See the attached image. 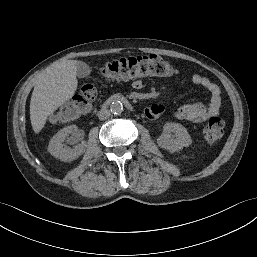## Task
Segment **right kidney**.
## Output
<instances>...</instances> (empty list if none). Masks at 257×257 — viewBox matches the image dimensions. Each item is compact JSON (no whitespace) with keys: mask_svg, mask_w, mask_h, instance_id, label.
<instances>
[{"mask_svg":"<svg viewBox=\"0 0 257 257\" xmlns=\"http://www.w3.org/2000/svg\"><path fill=\"white\" fill-rule=\"evenodd\" d=\"M75 128L76 127L73 125L64 127L51 138L48 145V151L52 156L67 162L78 158L85 152V143H80L73 149L64 144L65 141H68L70 144H74L80 139L79 134H75L68 138Z\"/></svg>","mask_w":257,"mask_h":257,"instance_id":"1","label":"right kidney"}]
</instances>
